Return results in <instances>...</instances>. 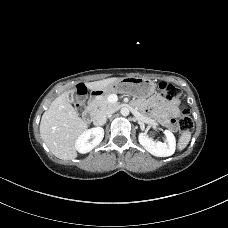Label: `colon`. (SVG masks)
Listing matches in <instances>:
<instances>
[{
    "label": "colon",
    "instance_id": "5ec220e1",
    "mask_svg": "<svg viewBox=\"0 0 228 228\" xmlns=\"http://www.w3.org/2000/svg\"><path fill=\"white\" fill-rule=\"evenodd\" d=\"M160 97L165 100H183V92L175 85L169 82H161L159 84ZM87 99V89L80 84L76 88V102L79 106L84 105ZM169 127L173 130L178 129L180 132H190L193 128V121L189 113V109L183 106L178 119L169 122Z\"/></svg>",
    "mask_w": 228,
    "mask_h": 228
}]
</instances>
